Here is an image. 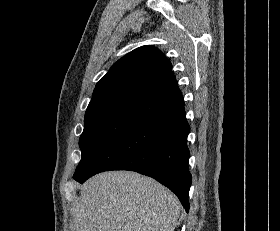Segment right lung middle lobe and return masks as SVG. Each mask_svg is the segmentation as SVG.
<instances>
[{
  "mask_svg": "<svg viewBox=\"0 0 280 231\" xmlns=\"http://www.w3.org/2000/svg\"><path fill=\"white\" fill-rule=\"evenodd\" d=\"M135 124V121L123 118L85 119L79 140L81 161L73 177L80 174L107 144Z\"/></svg>",
  "mask_w": 280,
  "mask_h": 231,
  "instance_id": "right-lung-middle-lobe-1",
  "label": "right lung middle lobe"
}]
</instances>
